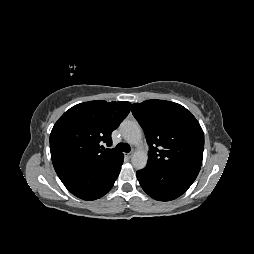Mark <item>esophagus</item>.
Segmentation results:
<instances>
[{"label": "esophagus", "mask_w": 254, "mask_h": 254, "mask_svg": "<svg viewBox=\"0 0 254 254\" xmlns=\"http://www.w3.org/2000/svg\"><path fill=\"white\" fill-rule=\"evenodd\" d=\"M132 155H133V152H129V153L126 154V157L131 158Z\"/></svg>", "instance_id": "34e87169"}]
</instances>
